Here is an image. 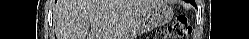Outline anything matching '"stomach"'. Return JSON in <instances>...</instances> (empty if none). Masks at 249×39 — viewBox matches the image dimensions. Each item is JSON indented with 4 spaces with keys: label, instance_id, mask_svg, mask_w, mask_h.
I'll return each instance as SVG.
<instances>
[{
    "label": "stomach",
    "instance_id": "stomach-1",
    "mask_svg": "<svg viewBox=\"0 0 249 39\" xmlns=\"http://www.w3.org/2000/svg\"><path fill=\"white\" fill-rule=\"evenodd\" d=\"M172 16L173 10L171 7L164 3H158L135 18L127 33V37L135 39V37L145 32L163 26L170 22Z\"/></svg>",
    "mask_w": 249,
    "mask_h": 39
}]
</instances>
